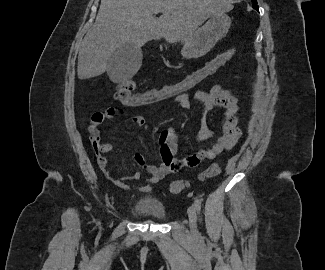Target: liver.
Instances as JSON below:
<instances>
[{
	"label": "liver",
	"instance_id": "6515ba94",
	"mask_svg": "<svg viewBox=\"0 0 325 270\" xmlns=\"http://www.w3.org/2000/svg\"><path fill=\"white\" fill-rule=\"evenodd\" d=\"M160 9L162 15L154 17ZM232 9L228 0H101L95 23L79 50L78 78L103 74L110 56L126 43L141 48L162 37L169 43L186 41L206 19Z\"/></svg>",
	"mask_w": 325,
	"mask_h": 270
}]
</instances>
